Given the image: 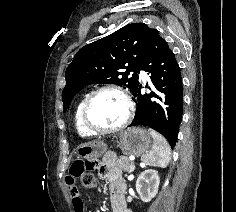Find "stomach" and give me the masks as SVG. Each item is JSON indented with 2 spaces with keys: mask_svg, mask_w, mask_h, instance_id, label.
<instances>
[{
  "mask_svg": "<svg viewBox=\"0 0 236 212\" xmlns=\"http://www.w3.org/2000/svg\"><path fill=\"white\" fill-rule=\"evenodd\" d=\"M151 144L150 134L142 128H128L118 135V146L126 155H144L149 151ZM106 150L107 147L103 141H94L80 145L77 148V155L86 160H95Z\"/></svg>",
  "mask_w": 236,
  "mask_h": 212,
  "instance_id": "0dacf381",
  "label": "stomach"
}]
</instances>
